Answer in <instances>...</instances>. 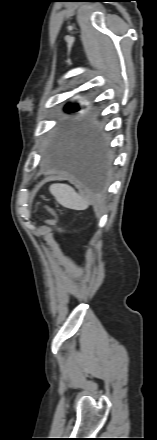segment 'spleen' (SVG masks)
<instances>
[{"label": "spleen", "mask_w": 157, "mask_h": 440, "mask_svg": "<svg viewBox=\"0 0 157 440\" xmlns=\"http://www.w3.org/2000/svg\"><path fill=\"white\" fill-rule=\"evenodd\" d=\"M49 190L56 201L65 208L85 210L89 207L88 201L67 184H52Z\"/></svg>", "instance_id": "obj_1"}]
</instances>
